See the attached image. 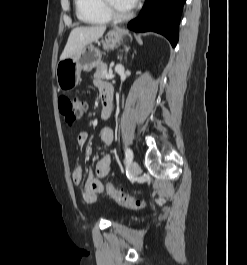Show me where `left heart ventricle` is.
Masks as SVG:
<instances>
[{
  "label": "left heart ventricle",
  "mask_w": 247,
  "mask_h": 265,
  "mask_svg": "<svg viewBox=\"0 0 247 265\" xmlns=\"http://www.w3.org/2000/svg\"><path fill=\"white\" fill-rule=\"evenodd\" d=\"M109 2L119 11L126 12L129 10L124 4H122L119 0H109Z\"/></svg>",
  "instance_id": "obj_1"
}]
</instances>
